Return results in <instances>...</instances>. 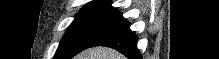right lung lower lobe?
Instances as JSON below:
<instances>
[{
    "label": "right lung lower lobe",
    "mask_w": 219,
    "mask_h": 59,
    "mask_svg": "<svg viewBox=\"0 0 219 59\" xmlns=\"http://www.w3.org/2000/svg\"><path fill=\"white\" fill-rule=\"evenodd\" d=\"M116 13L121 16L120 12ZM129 22H124L97 40L94 46H107L124 54L128 59H142L136 47L137 36L130 30Z\"/></svg>",
    "instance_id": "1"
}]
</instances>
